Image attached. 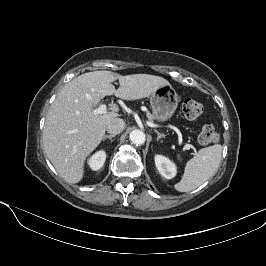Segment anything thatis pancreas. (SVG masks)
<instances>
[{
    "label": "pancreas",
    "mask_w": 266,
    "mask_h": 266,
    "mask_svg": "<svg viewBox=\"0 0 266 266\" xmlns=\"http://www.w3.org/2000/svg\"><path fill=\"white\" fill-rule=\"evenodd\" d=\"M146 116L150 121L154 119V116L149 111L146 112Z\"/></svg>",
    "instance_id": "1"
}]
</instances>
